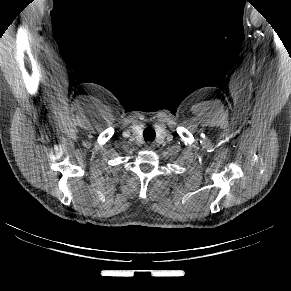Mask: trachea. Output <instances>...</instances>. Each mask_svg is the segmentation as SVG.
I'll return each instance as SVG.
<instances>
[{
	"mask_svg": "<svg viewBox=\"0 0 291 291\" xmlns=\"http://www.w3.org/2000/svg\"><path fill=\"white\" fill-rule=\"evenodd\" d=\"M143 137L145 141H149L152 142L154 141L155 137H156V133L155 130L151 127H147L144 131H143Z\"/></svg>",
	"mask_w": 291,
	"mask_h": 291,
	"instance_id": "3493384b",
	"label": "trachea"
}]
</instances>
